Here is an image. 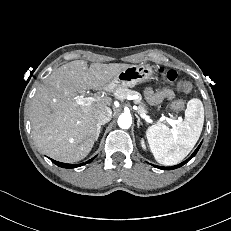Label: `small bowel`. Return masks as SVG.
Listing matches in <instances>:
<instances>
[{
    "label": "small bowel",
    "mask_w": 231,
    "mask_h": 231,
    "mask_svg": "<svg viewBox=\"0 0 231 231\" xmlns=\"http://www.w3.org/2000/svg\"><path fill=\"white\" fill-rule=\"evenodd\" d=\"M145 93L151 104H159L164 100H171L174 97V93L170 89H162L154 92L152 89L148 88Z\"/></svg>",
    "instance_id": "obj_1"
}]
</instances>
